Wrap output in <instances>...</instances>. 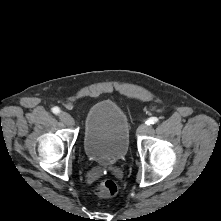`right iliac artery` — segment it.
Listing matches in <instances>:
<instances>
[{"instance_id": "82829eb1", "label": "right iliac artery", "mask_w": 221, "mask_h": 221, "mask_svg": "<svg viewBox=\"0 0 221 221\" xmlns=\"http://www.w3.org/2000/svg\"><path fill=\"white\" fill-rule=\"evenodd\" d=\"M52 112H53L54 114H59V113H60V109H59L58 107H53V108H52Z\"/></svg>"}]
</instances>
